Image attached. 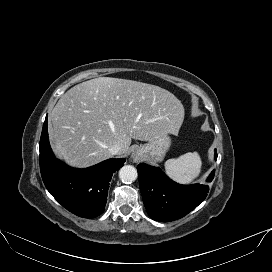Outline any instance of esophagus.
Returning a JSON list of instances; mask_svg holds the SVG:
<instances>
[{
	"label": "esophagus",
	"mask_w": 272,
	"mask_h": 272,
	"mask_svg": "<svg viewBox=\"0 0 272 272\" xmlns=\"http://www.w3.org/2000/svg\"><path fill=\"white\" fill-rule=\"evenodd\" d=\"M142 158H143L142 152H140L139 150L133 151L132 159L134 162H138V161L142 160Z\"/></svg>",
	"instance_id": "1"
}]
</instances>
